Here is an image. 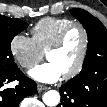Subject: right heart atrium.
Masks as SVG:
<instances>
[{
	"mask_svg": "<svg viewBox=\"0 0 107 107\" xmlns=\"http://www.w3.org/2000/svg\"><path fill=\"white\" fill-rule=\"evenodd\" d=\"M9 48L15 61L24 69L34 67L42 58V51L33 38L24 33L13 36Z\"/></svg>",
	"mask_w": 107,
	"mask_h": 107,
	"instance_id": "right-heart-atrium-1",
	"label": "right heart atrium"
}]
</instances>
